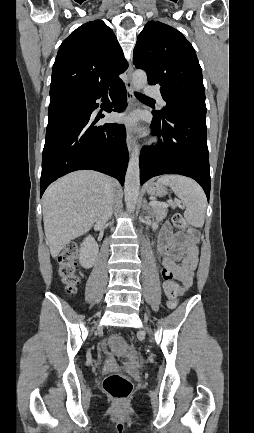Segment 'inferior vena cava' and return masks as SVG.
I'll use <instances>...</instances> for the list:
<instances>
[{"mask_svg": "<svg viewBox=\"0 0 254 433\" xmlns=\"http://www.w3.org/2000/svg\"><path fill=\"white\" fill-rule=\"evenodd\" d=\"M113 204H114V188L112 182L110 181L108 185V193L106 197L104 211L101 216L102 220L107 221L112 216Z\"/></svg>", "mask_w": 254, "mask_h": 433, "instance_id": "1", "label": "inferior vena cava"}]
</instances>
